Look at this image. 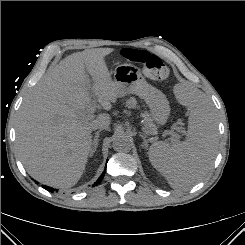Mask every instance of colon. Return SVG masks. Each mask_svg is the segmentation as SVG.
Segmentation results:
<instances>
[{
	"instance_id": "colon-1",
	"label": "colon",
	"mask_w": 245,
	"mask_h": 245,
	"mask_svg": "<svg viewBox=\"0 0 245 245\" xmlns=\"http://www.w3.org/2000/svg\"><path fill=\"white\" fill-rule=\"evenodd\" d=\"M121 56L129 62L142 65L145 75L151 79L163 81L169 77V68L156 55L143 50L124 49Z\"/></svg>"
}]
</instances>
